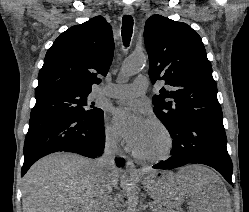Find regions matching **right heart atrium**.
<instances>
[{
	"mask_svg": "<svg viewBox=\"0 0 249 212\" xmlns=\"http://www.w3.org/2000/svg\"><path fill=\"white\" fill-rule=\"evenodd\" d=\"M103 133L107 147L111 149H116L118 145V138L116 136V133L109 124L105 123Z\"/></svg>",
	"mask_w": 249,
	"mask_h": 212,
	"instance_id": "d8ad5b80",
	"label": "right heart atrium"
}]
</instances>
